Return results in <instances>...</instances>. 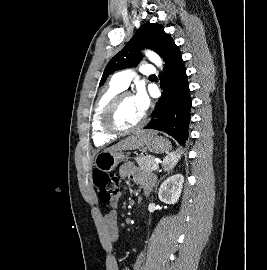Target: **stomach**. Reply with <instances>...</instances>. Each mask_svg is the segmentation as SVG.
Here are the masks:
<instances>
[{"instance_id": "0dacf381", "label": "stomach", "mask_w": 267, "mask_h": 270, "mask_svg": "<svg viewBox=\"0 0 267 270\" xmlns=\"http://www.w3.org/2000/svg\"><path fill=\"white\" fill-rule=\"evenodd\" d=\"M171 149V143L161 136L155 134L150 136L145 143L144 150L155 154L168 152ZM127 159L126 154L122 151H102L95 157L94 165L103 172L114 170L121 162Z\"/></svg>"}]
</instances>
